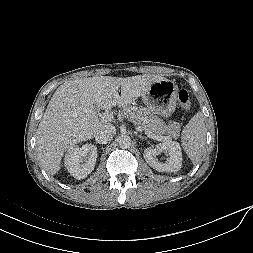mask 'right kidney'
Here are the masks:
<instances>
[{
    "mask_svg": "<svg viewBox=\"0 0 253 253\" xmlns=\"http://www.w3.org/2000/svg\"><path fill=\"white\" fill-rule=\"evenodd\" d=\"M96 159L97 147L95 145L73 146L65 155L64 165L74 178L80 180L94 170Z\"/></svg>",
    "mask_w": 253,
    "mask_h": 253,
    "instance_id": "right-kidney-1",
    "label": "right kidney"
}]
</instances>
